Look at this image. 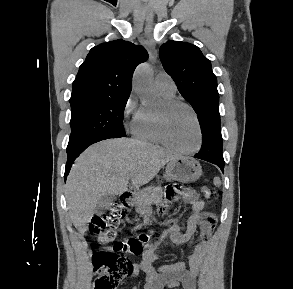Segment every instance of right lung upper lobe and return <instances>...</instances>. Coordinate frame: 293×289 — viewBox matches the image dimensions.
Instances as JSON below:
<instances>
[{"mask_svg":"<svg viewBox=\"0 0 293 289\" xmlns=\"http://www.w3.org/2000/svg\"><path fill=\"white\" fill-rule=\"evenodd\" d=\"M147 58L148 54L142 46L124 40L92 48L73 82L70 101L129 95L133 72Z\"/></svg>","mask_w":293,"mask_h":289,"instance_id":"right-lung-upper-lobe-1","label":"right lung upper lobe"}]
</instances>
